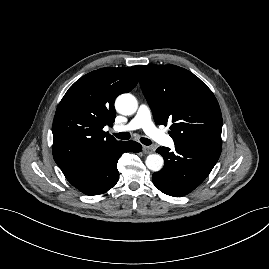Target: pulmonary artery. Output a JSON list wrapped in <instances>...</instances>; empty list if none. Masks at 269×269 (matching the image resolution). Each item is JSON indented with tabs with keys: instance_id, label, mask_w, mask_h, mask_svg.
Masks as SVG:
<instances>
[{
	"instance_id": "1",
	"label": "pulmonary artery",
	"mask_w": 269,
	"mask_h": 269,
	"mask_svg": "<svg viewBox=\"0 0 269 269\" xmlns=\"http://www.w3.org/2000/svg\"><path fill=\"white\" fill-rule=\"evenodd\" d=\"M143 129L144 132L151 137L153 140L161 145L167 147H173V139L156 128L152 121L150 108L146 104H141L135 117L126 125H118L114 127L116 132H124L135 129Z\"/></svg>"
}]
</instances>
